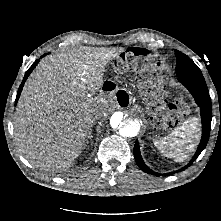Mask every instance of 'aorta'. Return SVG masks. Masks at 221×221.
<instances>
[{
  "mask_svg": "<svg viewBox=\"0 0 221 221\" xmlns=\"http://www.w3.org/2000/svg\"><path fill=\"white\" fill-rule=\"evenodd\" d=\"M112 130L122 138L137 136L141 128L140 119L134 113L116 112L110 120Z\"/></svg>",
  "mask_w": 221,
  "mask_h": 221,
  "instance_id": "aorta-1",
  "label": "aorta"
}]
</instances>
